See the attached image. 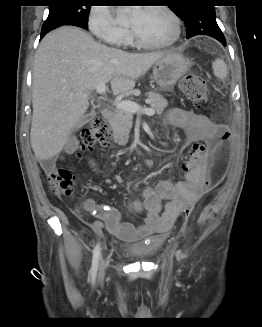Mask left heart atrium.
Returning a JSON list of instances; mask_svg holds the SVG:
<instances>
[{
	"mask_svg": "<svg viewBox=\"0 0 262 327\" xmlns=\"http://www.w3.org/2000/svg\"><path fill=\"white\" fill-rule=\"evenodd\" d=\"M143 10H144V9H135V10L132 12V16H133L134 18H138V17L142 14Z\"/></svg>",
	"mask_w": 262,
	"mask_h": 327,
	"instance_id": "39dd6f15",
	"label": "left heart atrium"
}]
</instances>
